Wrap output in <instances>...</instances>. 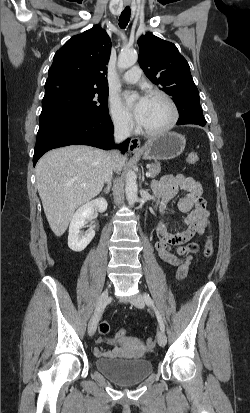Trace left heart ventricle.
Segmentation results:
<instances>
[{"label": "left heart ventricle", "instance_id": "left-heart-ventricle-1", "mask_svg": "<svg viewBox=\"0 0 250 413\" xmlns=\"http://www.w3.org/2000/svg\"><path fill=\"white\" fill-rule=\"evenodd\" d=\"M170 119L171 109L168 104L162 99L149 97L141 126L149 130H157L166 126Z\"/></svg>", "mask_w": 250, "mask_h": 413}]
</instances>
